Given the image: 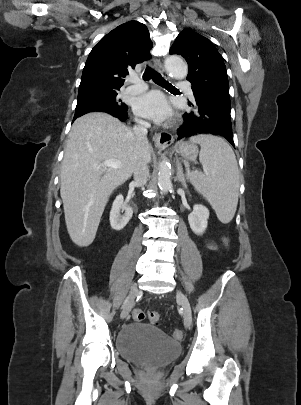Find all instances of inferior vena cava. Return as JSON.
<instances>
[{
	"instance_id": "1",
	"label": "inferior vena cava",
	"mask_w": 301,
	"mask_h": 405,
	"mask_svg": "<svg viewBox=\"0 0 301 405\" xmlns=\"http://www.w3.org/2000/svg\"><path fill=\"white\" fill-rule=\"evenodd\" d=\"M150 124L143 120H136V125L133 127V133L138 142H147V129ZM134 181L138 186H144L149 177V170L147 162L143 159H139L134 167Z\"/></svg>"
}]
</instances>
